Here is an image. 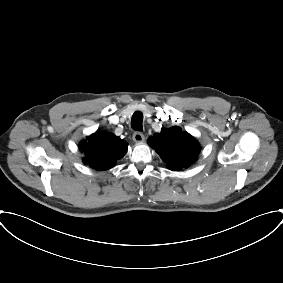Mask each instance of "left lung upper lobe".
I'll list each match as a JSON object with an SVG mask.
<instances>
[{
    "instance_id": "obj_1",
    "label": "left lung upper lobe",
    "mask_w": 283,
    "mask_h": 283,
    "mask_svg": "<svg viewBox=\"0 0 283 283\" xmlns=\"http://www.w3.org/2000/svg\"><path fill=\"white\" fill-rule=\"evenodd\" d=\"M149 145L156 149L170 170L187 168L200 151L195 139L180 127L163 128L161 133L155 134L148 140Z\"/></svg>"
}]
</instances>
